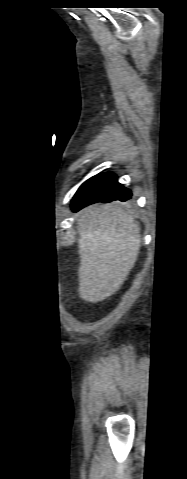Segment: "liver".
<instances>
[{
	"instance_id": "1",
	"label": "liver",
	"mask_w": 187,
	"mask_h": 479,
	"mask_svg": "<svg viewBox=\"0 0 187 479\" xmlns=\"http://www.w3.org/2000/svg\"><path fill=\"white\" fill-rule=\"evenodd\" d=\"M79 295L96 303L117 292L137 261L140 225L121 203L96 204L77 220Z\"/></svg>"
}]
</instances>
